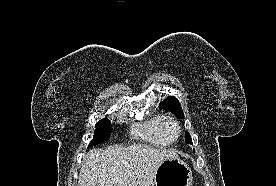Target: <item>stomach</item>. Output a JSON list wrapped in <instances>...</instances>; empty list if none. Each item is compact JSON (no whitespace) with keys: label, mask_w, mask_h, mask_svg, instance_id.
<instances>
[{"label":"stomach","mask_w":276,"mask_h":186,"mask_svg":"<svg viewBox=\"0 0 276 186\" xmlns=\"http://www.w3.org/2000/svg\"><path fill=\"white\" fill-rule=\"evenodd\" d=\"M192 172L179 157L163 161L157 169L152 186H191Z\"/></svg>","instance_id":"obj_1"}]
</instances>
